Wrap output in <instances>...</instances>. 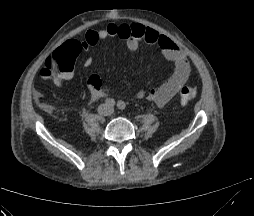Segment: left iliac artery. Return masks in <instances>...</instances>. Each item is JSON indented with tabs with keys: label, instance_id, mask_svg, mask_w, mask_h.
<instances>
[{
	"label": "left iliac artery",
	"instance_id": "obj_1",
	"mask_svg": "<svg viewBox=\"0 0 254 216\" xmlns=\"http://www.w3.org/2000/svg\"><path fill=\"white\" fill-rule=\"evenodd\" d=\"M117 107H118V109H120V110H124V109L126 108V104H125V102H123V101H119V102L117 103Z\"/></svg>",
	"mask_w": 254,
	"mask_h": 216
}]
</instances>
